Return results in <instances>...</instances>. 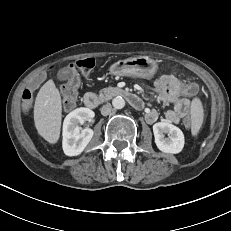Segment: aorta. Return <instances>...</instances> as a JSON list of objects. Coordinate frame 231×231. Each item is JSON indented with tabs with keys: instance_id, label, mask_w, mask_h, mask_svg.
<instances>
[{
	"instance_id": "obj_1",
	"label": "aorta",
	"mask_w": 231,
	"mask_h": 231,
	"mask_svg": "<svg viewBox=\"0 0 231 231\" xmlns=\"http://www.w3.org/2000/svg\"><path fill=\"white\" fill-rule=\"evenodd\" d=\"M112 105L115 109H122L125 106V100L121 96H117L112 100Z\"/></svg>"
}]
</instances>
